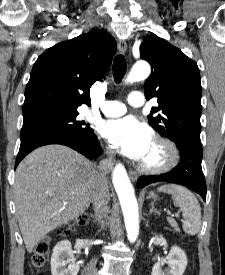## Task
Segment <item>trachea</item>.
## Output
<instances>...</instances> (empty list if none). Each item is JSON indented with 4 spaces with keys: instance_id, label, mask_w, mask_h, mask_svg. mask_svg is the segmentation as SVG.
<instances>
[{
    "instance_id": "3493384b",
    "label": "trachea",
    "mask_w": 225,
    "mask_h": 275,
    "mask_svg": "<svg viewBox=\"0 0 225 275\" xmlns=\"http://www.w3.org/2000/svg\"><path fill=\"white\" fill-rule=\"evenodd\" d=\"M127 69L125 57L117 55L113 61V76L116 83H120Z\"/></svg>"
}]
</instances>
